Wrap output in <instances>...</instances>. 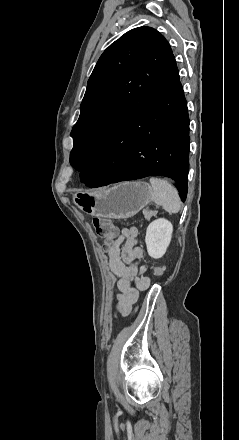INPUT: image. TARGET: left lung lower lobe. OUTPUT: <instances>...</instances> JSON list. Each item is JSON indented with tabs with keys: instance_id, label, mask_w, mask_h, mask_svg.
Wrapping results in <instances>:
<instances>
[{
	"instance_id": "obj_1",
	"label": "left lung lower lobe",
	"mask_w": 239,
	"mask_h": 440,
	"mask_svg": "<svg viewBox=\"0 0 239 440\" xmlns=\"http://www.w3.org/2000/svg\"><path fill=\"white\" fill-rule=\"evenodd\" d=\"M189 116L174 55L132 110L113 128L80 172L81 182L100 187L150 175L169 177L187 196Z\"/></svg>"
}]
</instances>
